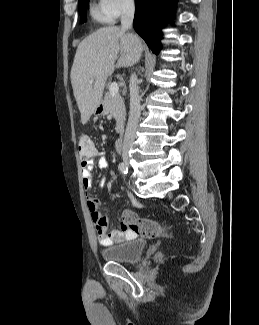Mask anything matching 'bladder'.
I'll use <instances>...</instances> for the list:
<instances>
[{"instance_id": "1", "label": "bladder", "mask_w": 259, "mask_h": 325, "mask_svg": "<svg viewBox=\"0 0 259 325\" xmlns=\"http://www.w3.org/2000/svg\"><path fill=\"white\" fill-rule=\"evenodd\" d=\"M147 242L137 238L125 243L115 244L101 250L104 260L115 263H136L140 260Z\"/></svg>"}]
</instances>
